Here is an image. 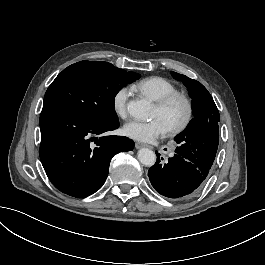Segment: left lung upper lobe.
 Returning <instances> with one entry per match:
<instances>
[{
    "label": "left lung upper lobe",
    "mask_w": 265,
    "mask_h": 265,
    "mask_svg": "<svg viewBox=\"0 0 265 265\" xmlns=\"http://www.w3.org/2000/svg\"><path fill=\"white\" fill-rule=\"evenodd\" d=\"M171 74L188 88L195 116L187 128L175 137L179 144L175 152L192 162L203 163L211 169L219 143L218 109L212 96L201 83L173 71Z\"/></svg>",
    "instance_id": "left-lung-upper-lobe-1"
}]
</instances>
